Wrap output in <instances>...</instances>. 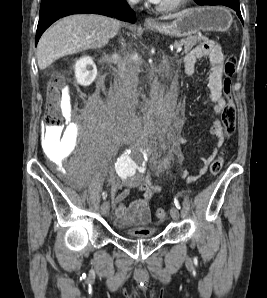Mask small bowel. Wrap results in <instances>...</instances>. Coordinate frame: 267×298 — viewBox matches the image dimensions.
Listing matches in <instances>:
<instances>
[{
  "mask_svg": "<svg viewBox=\"0 0 267 298\" xmlns=\"http://www.w3.org/2000/svg\"><path fill=\"white\" fill-rule=\"evenodd\" d=\"M203 57H208L210 61V73L208 78L210 101L213 103L215 114L222 116L228 102L223 95L224 55L220 46L211 40L204 41L197 45L185 56V72L188 76H193L197 61ZM169 105H171V102ZM209 132L216 137L218 144L222 143L225 133L221 118L216 117L213 119ZM212 159L213 154L203 158L198 175L189 176L187 182H194L200 176L204 175ZM161 169L160 166H155L154 168L157 172L161 171ZM123 185L126 186V188L121 193L116 194L117 190ZM132 189H137L142 192V197L126 205L124 201L130 195ZM160 191L161 187L153 182L150 174H147L145 177L137 175L127 180L113 179L111 181L112 202L115 205V215L118 223L123 226H138V228L135 229L137 234L148 235L152 233L153 229L147 227L151 222V210L148 203L151 198Z\"/></svg>",
  "mask_w": 267,
  "mask_h": 298,
  "instance_id": "1",
  "label": "small bowel"
}]
</instances>
